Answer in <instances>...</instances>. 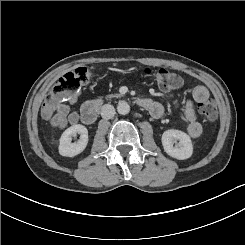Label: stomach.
Wrapping results in <instances>:
<instances>
[{"instance_id":"1","label":"stomach","mask_w":245,"mask_h":245,"mask_svg":"<svg viewBox=\"0 0 245 245\" xmlns=\"http://www.w3.org/2000/svg\"><path fill=\"white\" fill-rule=\"evenodd\" d=\"M133 71H134L133 69L129 68V69H127L125 72L131 73V72H133Z\"/></svg>"}]
</instances>
